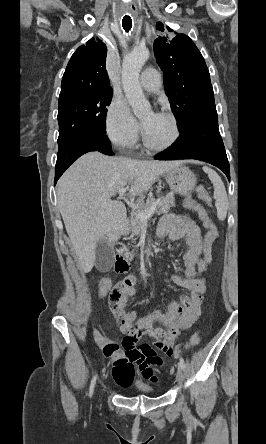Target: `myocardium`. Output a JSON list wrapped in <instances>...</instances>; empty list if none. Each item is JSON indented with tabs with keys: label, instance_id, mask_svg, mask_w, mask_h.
<instances>
[{
	"label": "myocardium",
	"instance_id": "myocardium-1",
	"mask_svg": "<svg viewBox=\"0 0 266 444\" xmlns=\"http://www.w3.org/2000/svg\"><path fill=\"white\" fill-rule=\"evenodd\" d=\"M160 114L168 117L171 120L172 125H173V129H174L172 138L165 145L158 146V145L153 144L150 141V139L148 138V136L144 130V127L142 126V128H141L142 129V139H143L144 145L148 149H150L152 151H156V152H161V151H165V150L170 149L171 147H173L176 144V142L178 141V139L180 137V126H179V122H178L176 116L172 112L167 111V110L161 111Z\"/></svg>",
	"mask_w": 266,
	"mask_h": 444
}]
</instances>
